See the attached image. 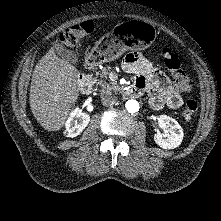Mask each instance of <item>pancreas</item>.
I'll use <instances>...</instances> for the list:
<instances>
[{"instance_id": "obj_1", "label": "pancreas", "mask_w": 221, "mask_h": 221, "mask_svg": "<svg viewBox=\"0 0 221 221\" xmlns=\"http://www.w3.org/2000/svg\"><path fill=\"white\" fill-rule=\"evenodd\" d=\"M110 68L104 67L100 73V77L104 78V80H97L94 78V81L97 83V86H100L101 93H111V92H118L121 91L122 87L116 85V82H107L108 74L110 72Z\"/></svg>"}]
</instances>
